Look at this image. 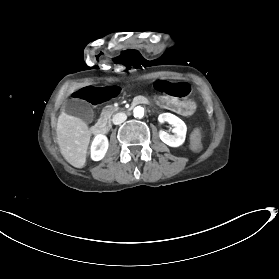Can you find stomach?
Listing matches in <instances>:
<instances>
[{
    "instance_id": "obj_1",
    "label": "stomach",
    "mask_w": 279,
    "mask_h": 279,
    "mask_svg": "<svg viewBox=\"0 0 279 279\" xmlns=\"http://www.w3.org/2000/svg\"><path fill=\"white\" fill-rule=\"evenodd\" d=\"M156 105L163 106L166 109L181 111V113L186 117L194 116L198 111L197 104L192 100L177 101L176 98L171 96H166L164 98L158 97L155 100Z\"/></svg>"
}]
</instances>
